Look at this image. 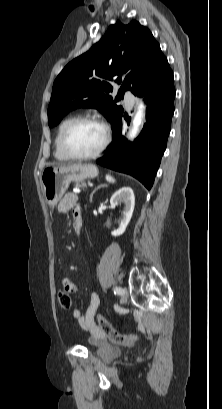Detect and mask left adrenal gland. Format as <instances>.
Instances as JSON below:
<instances>
[{
    "label": "left adrenal gland",
    "mask_w": 222,
    "mask_h": 409,
    "mask_svg": "<svg viewBox=\"0 0 222 409\" xmlns=\"http://www.w3.org/2000/svg\"><path fill=\"white\" fill-rule=\"evenodd\" d=\"M104 186H105L104 184H101V185L97 186V187L92 191V193H91V195H90V202H92L93 195L95 194V192H96L98 189H100V188H102V187H104Z\"/></svg>",
    "instance_id": "a2214340"
}]
</instances>
